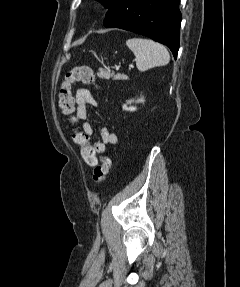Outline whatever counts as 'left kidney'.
<instances>
[{
	"mask_svg": "<svg viewBox=\"0 0 240 287\" xmlns=\"http://www.w3.org/2000/svg\"><path fill=\"white\" fill-rule=\"evenodd\" d=\"M134 100H129V101H127V104H131L132 102H133ZM144 98H141V99H138L136 102L137 103H139V102H141V103H144ZM127 104H124L123 105V110H126V111H136V107H134V106H127Z\"/></svg>",
	"mask_w": 240,
	"mask_h": 287,
	"instance_id": "5707ae66",
	"label": "left kidney"
}]
</instances>
